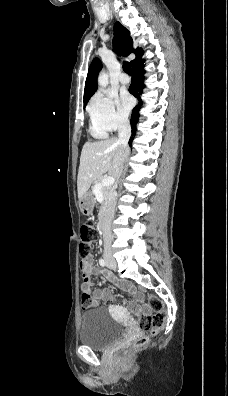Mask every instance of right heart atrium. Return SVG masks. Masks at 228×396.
I'll return each instance as SVG.
<instances>
[{
  "instance_id": "d8ad5b80",
  "label": "right heart atrium",
  "mask_w": 228,
  "mask_h": 396,
  "mask_svg": "<svg viewBox=\"0 0 228 396\" xmlns=\"http://www.w3.org/2000/svg\"><path fill=\"white\" fill-rule=\"evenodd\" d=\"M93 124L105 132H113L124 127L128 120L115 105L112 95L99 92L95 94L88 107Z\"/></svg>"
}]
</instances>
